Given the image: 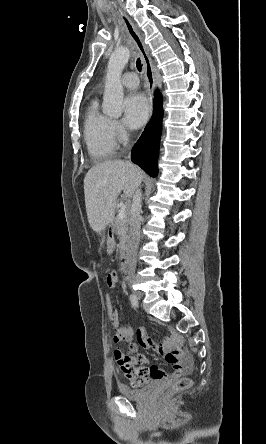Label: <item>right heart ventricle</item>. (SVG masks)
Returning <instances> with one entry per match:
<instances>
[{
    "label": "right heart ventricle",
    "instance_id": "e07e8e85",
    "mask_svg": "<svg viewBox=\"0 0 266 444\" xmlns=\"http://www.w3.org/2000/svg\"><path fill=\"white\" fill-rule=\"evenodd\" d=\"M83 134L88 152L94 159L104 160L114 156L117 144L112 120L99 110L97 100L91 101L87 107Z\"/></svg>",
    "mask_w": 266,
    "mask_h": 444
}]
</instances>
